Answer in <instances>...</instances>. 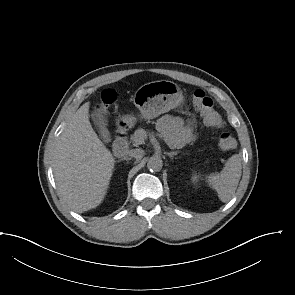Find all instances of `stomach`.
<instances>
[{"label":"stomach","instance_id":"1","mask_svg":"<svg viewBox=\"0 0 295 295\" xmlns=\"http://www.w3.org/2000/svg\"><path fill=\"white\" fill-rule=\"evenodd\" d=\"M183 101V92L176 83L160 80L141 86L136 92L134 102L142 118L153 119L180 106ZM135 122L136 118L133 115L121 118V123L127 127H132Z\"/></svg>","mask_w":295,"mask_h":295}]
</instances>
